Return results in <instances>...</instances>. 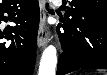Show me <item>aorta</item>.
Returning <instances> with one entry per match:
<instances>
[{"label":"aorta","instance_id":"1","mask_svg":"<svg viewBox=\"0 0 107 75\" xmlns=\"http://www.w3.org/2000/svg\"><path fill=\"white\" fill-rule=\"evenodd\" d=\"M56 65L57 50L53 45H50L42 54L38 75H55Z\"/></svg>","mask_w":107,"mask_h":75}]
</instances>
